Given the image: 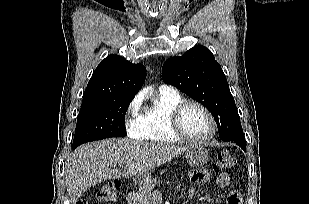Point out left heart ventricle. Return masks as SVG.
<instances>
[{
  "mask_svg": "<svg viewBox=\"0 0 309 204\" xmlns=\"http://www.w3.org/2000/svg\"><path fill=\"white\" fill-rule=\"evenodd\" d=\"M185 131L194 138H206L211 131L210 121L205 113L196 106H188L181 118Z\"/></svg>",
  "mask_w": 309,
  "mask_h": 204,
  "instance_id": "obj_1",
  "label": "left heart ventricle"
}]
</instances>
